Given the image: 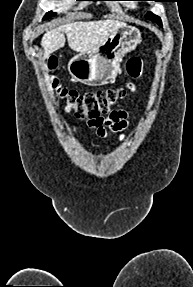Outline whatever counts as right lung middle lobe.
<instances>
[{
    "label": "right lung middle lobe",
    "instance_id": "1",
    "mask_svg": "<svg viewBox=\"0 0 193 287\" xmlns=\"http://www.w3.org/2000/svg\"><path fill=\"white\" fill-rule=\"evenodd\" d=\"M77 1H82V0H77ZM56 13H53L52 11L48 12L43 19H48L50 18L51 16L55 15Z\"/></svg>",
    "mask_w": 193,
    "mask_h": 287
}]
</instances>
